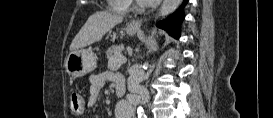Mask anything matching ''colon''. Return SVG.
<instances>
[{"label":"colon","instance_id":"colon-1","mask_svg":"<svg viewBox=\"0 0 273 118\" xmlns=\"http://www.w3.org/2000/svg\"><path fill=\"white\" fill-rule=\"evenodd\" d=\"M70 109L75 115H79L84 111V99L79 92L75 91L71 94Z\"/></svg>","mask_w":273,"mask_h":118}]
</instances>
